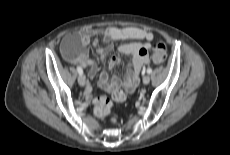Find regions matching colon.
Masks as SVG:
<instances>
[{"label":"colon","instance_id":"1","mask_svg":"<svg viewBox=\"0 0 230 155\" xmlns=\"http://www.w3.org/2000/svg\"><path fill=\"white\" fill-rule=\"evenodd\" d=\"M72 47L79 51L81 49L80 39H75L72 42ZM152 58L155 63H162L166 58V45L163 42H157L152 48ZM113 101L117 102L116 95L112 97L99 96L95 99L94 114L102 119H109L112 123L115 122V118L110 116Z\"/></svg>","mask_w":230,"mask_h":155}]
</instances>
